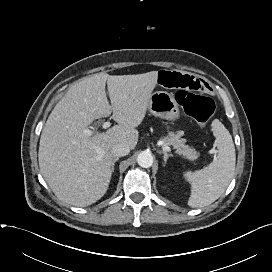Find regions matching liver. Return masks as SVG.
Here are the masks:
<instances>
[{
  "label": "liver",
  "mask_w": 272,
  "mask_h": 272,
  "mask_svg": "<svg viewBox=\"0 0 272 272\" xmlns=\"http://www.w3.org/2000/svg\"><path fill=\"white\" fill-rule=\"evenodd\" d=\"M157 79L158 71L118 76L101 72L68 89L46 121L38 153L40 172L59 200L84 207L104 196L112 174V147H136V127L145 118ZM111 112L117 125L92 136L83 133Z\"/></svg>",
  "instance_id": "obj_1"
}]
</instances>
